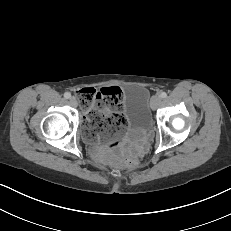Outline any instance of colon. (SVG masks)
<instances>
[{
  "instance_id": "obj_1",
  "label": "colon",
  "mask_w": 231,
  "mask_h": 231,
  "mask_svg": "<svg viewBox=\"0 0 231 231\" xmlns=\"http://www.w3.org/2000/svg\"><path fill=\"white\" fill-rule=\"evenodd\" d=\"M79 100L83 108L88 109V120L106 136L122 134L126 127V118L121 111L123 93L119 87H107L100 92L94 90L79 91ZM117 162L124 167H134L136 162L123 157Z\"/></svg>"
}]
</instances>
